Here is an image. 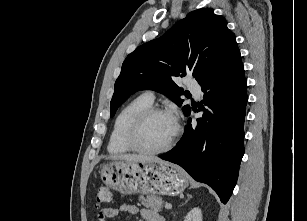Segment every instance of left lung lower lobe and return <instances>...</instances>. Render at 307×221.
<instances>
[{"instance_id": "left-lung-lower-lobe-1", "label": "left lung lower lobe", "mask_w": 307, "mask_h": 221, "mask_svg": "<svg viewBox=\"0 0 307 221\" xmlns=\"http://www.w3.org/2000/svg\"><path fill=\"white\" fill-rule=\"evenodd\" d=\"M246 84L238 51L231 62L202 87L204 95L199 106L205 111L204 119H198L196 128H192L189 119L177 146L159 156L180 165L196 181L208 184L224 204L236 185L244 155ZM202 104L209 106L214 114Z\"/></svg>"}]
</instances>
